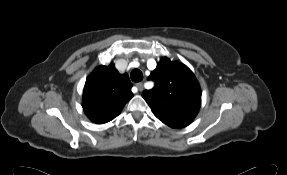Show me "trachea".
Wrapping results in <instances>:
<instances>
[{
    "instance_id": "trachea-1",
    "label": "trachea",
    "mask_w": 287,
    "mask_h": 175,
    "mask_svg": "<svg viewBox=\"0 0 287 175\" xmlns=\"http://www.w3.org/2000/svg\"><path fill=\"white\" fill-rule=\"evenodd\" d=\"M130 77L133 82H140L143 80V73L138 69H134L131 72Z\"/></svg>"
}]
</instances>
